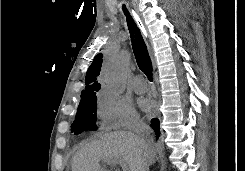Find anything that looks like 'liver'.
<instances>
[{
  "mask_svg": "<svg viewBox=\"0 0 245 171\" xmlns=\"http://www.w3.org/2000/svg\"><path fill=\"white\" fill-rule=\"evenodd\" d=\"M155 157L153 147L146 150L139 136L124 131L109 132L81 147L72 159L71 170L107 171L100 167V161L121 159L130 171H141L144 164L154 163Z\"/></svg>",
  "mask_w": 245,
  "mask_h": 171,
  "instance_id": "6515ba94",
  "label": "liver"
}]
</instances>
